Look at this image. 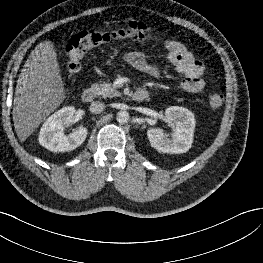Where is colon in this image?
<instances>
[{
	"label": "colon",
	"instance_id": "1",
	"mask_svg": "<svg viewBox=\"0 0 263 263\" xmlns=\"http://www.w3.org/2000/svg\"><path fill=\"white\" fill-rule=\"evenodd\" d=\"M163 35L161 29H152L142 23L132 22L127 26L114 30H87L73 35L66 46V67L69 73L79 71L81 61L92 48L112 39H158ZM223 103V95L219 92H211L207 98V107L214 113L220 109Z\"/></svg>",
	"mask_w": 263,
	"mask_h": 263
}]
</instances>
